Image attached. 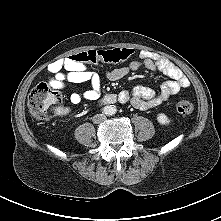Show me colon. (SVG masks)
Wrapping results in <instances>:
<instances>
[{
    "label": "colon",
    "instance_id": "5ec220e1",
    "mask_svg": "<svg viewBox=\"0 0 221 221\" xmlns=\"http://www.w3.org/2000/svg\"><path fill=\"white\" fill-rule=\"evenodd\" d=\"M134 50L129 48H115L109 50H87L70 57V60L83 65H97L99 63H120L129 59ZM62 95L44 83L35 86L28 98V108L33 118L44 122L62 112ZM194 110L189 101H179L176 112L180 115H190Z\"/></svg>",
    "mask_w": 221,
    "mask_h": 221
}]
</instances>
